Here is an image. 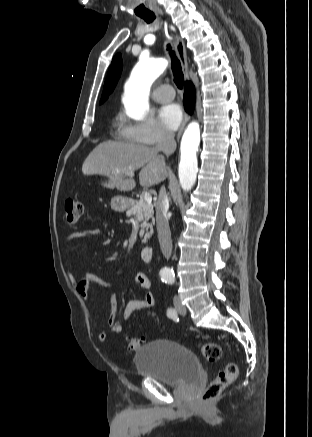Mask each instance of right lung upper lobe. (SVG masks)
Here are the masks:
<instances>
[{
  "instance_id": "obj_1",
  "label": "right lung upper lobe",
  "mask_w": 312,
  "mask_h": 437,
  "mask_svg": "<svg viewBox=\"0 0 312 437\" xmlns=\"http://www.w3.org/2000/svg\"><path fill=\"white\" fill-rule=\"evenodd\" d=\"M121 71H122V58L120 54H117L113 58L111 66L108 70L100 103H103L108 98L109 94L113 91L117 83V80L121 75Z\"/></svg>"
}]
</instances>
